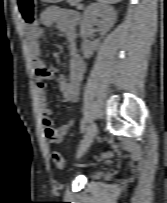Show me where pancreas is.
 Segmentation results:
<instances>
[{"instance_id":"pancreas-1","label":"pancreas","mask_w":167,"mask_h":203,"mask_svg":"<svg viewBox=\"0 0 167 203\" xmlns=\"http://www.w3.org/2000/svg\"><path fill=\"white\" fill-rule=\"evenodd\" d=\"M81 0H67V2L71 5V6H76L78 9H82V7L79 5V2Z\"/></svg>"}]
</instances>
